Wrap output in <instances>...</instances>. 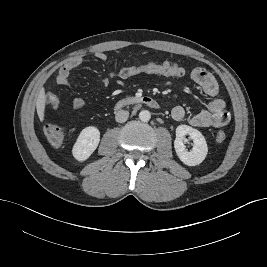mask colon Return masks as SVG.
<instances>
[{
    "label": "colon",
    "instance_id": "colon-1",
    "mask_svg": "<svg viewBox=\"0 0 267 267\" xmlns=\"http://www.w3.org/2000/svg\"><path fill=\"white\" fill-rule=\"evenodd\" d=\"M143 74L181 76L184 74V68L176 62H149L145 64L124 67L119 70V77L121 79H130ZM44 134L52 145L59 146L65 139L66 129L57 123H47L44 126ZM225 139V133L223 131H219L216 135L217 142H223Z\"/></svg>",
    "mask_w": 267,
    "mask_h": 267
}]
</instances>
